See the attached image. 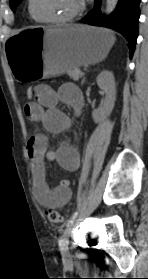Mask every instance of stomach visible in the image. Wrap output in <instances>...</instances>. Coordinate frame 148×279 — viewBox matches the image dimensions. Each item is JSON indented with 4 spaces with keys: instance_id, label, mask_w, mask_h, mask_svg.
I'll use <instances>...</instances> for the list:
<instances>
[{
    "instance_id": "1",
    "label": "stomach",
    "mask_w": 148,
    "mask_h": 279,
    "mask_svg": "<svg viewBox=\"0 0 148 279\" xmlns=\"http://www.w3.org/2000/svg\"><path fill=\"white\" fill-rule=\"evenodd\" d=\"M115 42L112 32L83 25L32 27L7 39L6 59L19 85L43 82L80 66L101 62Z\"/></svg>"
}]
</instances>
